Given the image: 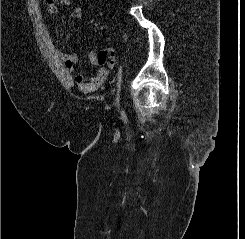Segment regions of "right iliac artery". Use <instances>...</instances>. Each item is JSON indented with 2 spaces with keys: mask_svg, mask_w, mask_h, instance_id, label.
I'll return each mask as SVG.
<instances>
[{
  "mask_svg": "<svg viewBox=\"0 0 245 239\" xmlns=\"http://www.w3.org/2000/svg\"><path fill=\"white\" fill-rule=\"evenodd\" d=\"M121 83H122V66H120L118 71V81H117V93H116V105L120 108V91H121Z\"/></svg>",
  "mask_w": 245,
  "mask_h": 239,
  "instance_id": "obj_1",
  "label": "right iliac artery"
}]
</instances>
